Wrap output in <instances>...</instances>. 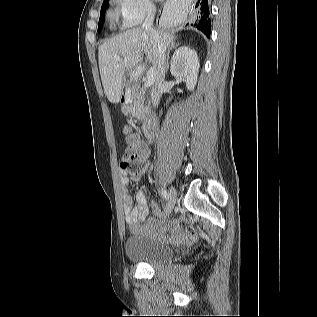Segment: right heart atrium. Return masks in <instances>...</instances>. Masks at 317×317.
I'll list each match as a JSON object with an SVG mask.
<instances>
[{"instance_id": "d8ad5b80", "label": "right heart atrium", "mask_w": 317, "mask_h": 317, "mask_svg": "<svg viewBox=\"0 0 317 317\" xmlns=\"http://www.w3.org/2000/svg\"><path fill=\"white\" fill-rule=\"evenodd\" d=\"M125 27H136L155 13L152 0H116Z\"/></svg>"}]
</instances>
